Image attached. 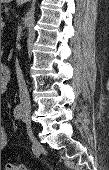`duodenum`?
<instances>
[{
  "mask_svg": "<svg viewBox=\"0 0 109 170\" xmlns=\"http://www.w3.org/2000/svg\"><path fill=\"white\" fill-rule=\"evenodd\" d=\"M9 67L6 64L1 66V91L5 92L8 86Z\"/></svg>",
  "mask_w": 109,
  "mask_h": 170,
  "instance_id": "duodenum-1",
  "label": "duodenum"
}]
</instances>
